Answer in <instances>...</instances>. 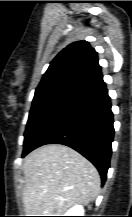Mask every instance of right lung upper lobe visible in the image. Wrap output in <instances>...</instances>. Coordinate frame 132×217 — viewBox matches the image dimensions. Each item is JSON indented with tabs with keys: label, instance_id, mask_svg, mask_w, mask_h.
I'll list each match as a JSON object with an SVG mask.
<instances>
[{
	"label": "right lung upper lobe",
	"instance_id": "cb5924a9",
	"mask_svg": "<svg viewBox=\"0 0 132 217\" xmlns=\"http://www.w3.org/2000/svg\"><path fill=\"white\" fill-rule=\"evenodd\" d=\"M104 85L96 51L88 42L77 41L53 59L35 95L66 91L80 96Z\"/></svg>",
	"mask_w": 132,
	"mask_h": 217
}]
</instances>
